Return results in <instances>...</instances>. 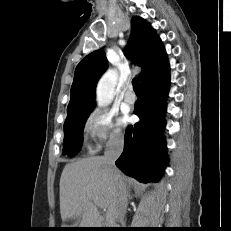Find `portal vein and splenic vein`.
Masks as SVG:
<instances>
[{
	"label": "portal vein and splenic vein",
	"mask_w": 231,
	"mask_h": 231,
	"mask_svg": "<svg viewBox=\"0 0 231 231\" xmlns=\"http://www.w3.org/2000/svg\"><path fill=\"white\" fill-rule=\"evenodd\" d=\"M92 200H93V202H94L98 207L103 208V204H102V202H101V200H100L99 197L93 196V197H92Z\"/></svg>",
	"instance_id": "obj_1"
}]
</instances>
